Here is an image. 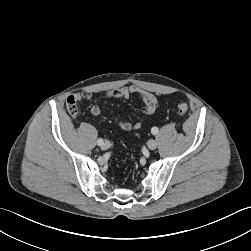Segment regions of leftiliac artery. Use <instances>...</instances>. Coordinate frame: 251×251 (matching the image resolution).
Returning <instances> with one entry per match:
<instances>
[{"instance_id":"left-iliac-artery-1","label":"left iliac artery","mask_w":251,"mask_h":251,"mask_svg":"<svg viewBox=\"0 0 251 251\" xmlns=\"http://www.w3.org/2000/svg\"><path fill=\"white\" fill-rule=\"evenodd\" d=\"M151 133H152L153 135H156V134L158 133V128H157V127H153V128L151 129Z\"/></svg>"}]
</instances>
